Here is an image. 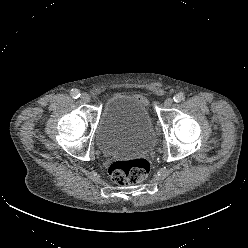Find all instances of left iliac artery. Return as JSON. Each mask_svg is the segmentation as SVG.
Returning a JSON list of instances; mask_svg holds the SVG:
<instances>
[{
	"label": "left iliac artery",
	"mask_w": 248,
	"mask_h": 248,
	"mask_svg": "<svg viewBox=\"0 0 248 248\" xmlns=\"http://www.w3.org/2000/svg\"><path fill=\"white\" fill-rule=\"evenodd\" d=\"M184 98H185L184 93L180 92V93L176 94L173 99L176 103H179V102L183 101Z\"/></svg>",
	"instance_id": "44dca946"
}]
</instances>
